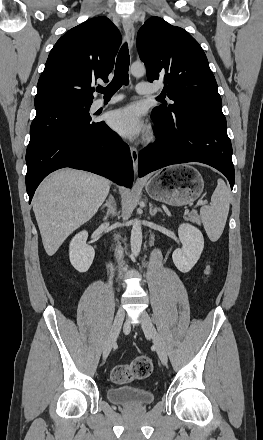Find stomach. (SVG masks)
Instances as JSON below:
<instances>
[{
    "label": "stomach",
    "mask_w": 263,
    "mask_h": 440,
    "mask_svg": "<svg viewBox=\"0 0 263 440\" xmlns=\"http://www.w3.org/2000/svg\"><path fill=\"white\" fill-rule=\"evenodd\" d=\"M201 174L190 166H174L166 172L156 173L145 184L148 195L172 206L194 202L202 193Z\"/></svg>",
    "instance_id": "0dacf381"
}]
</instances>
